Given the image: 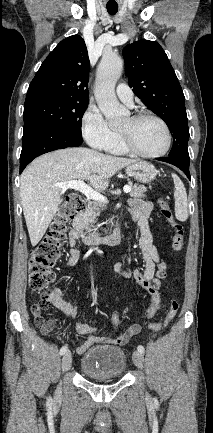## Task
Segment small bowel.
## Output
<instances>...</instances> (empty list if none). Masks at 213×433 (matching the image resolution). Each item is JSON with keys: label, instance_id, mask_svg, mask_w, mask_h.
<instances>
[{"label": "small bowel", "instance_id": "small-bowel-1", "mask_svg": "<svg viewBox=\"0 0 213 433\" xmlns=\"http://www.w3.org/2000/svg\"><path fill=\"white\" fill-rule=\"evenodd\" d=\"M130 206L131 218L138 224L140 229L139 245L145 262L144 270L131 271L123 268L120 264H118L116 268L125 277H133L135 281L150 294L152 301L150 308L148 309V317H152L159 308L161 287V279L156 272L157 266L160 262V257L158 250L153 243V237L148 225V218L152 210V204L145 200L135 199L131 201ZM79 238L80 237L76 230L72 229L69 233L68 257L65 260L67 265H73L79 260L80 252L76 248ZM47 299L50 304H52L64 316L68 318L74 316L75 309L64 301L61 289L53 288L47 295ZM54 327L55 322L49 320L44 326H41V331L44 335H48ZM74 327L79 335L86 337L85 342L77 348L79 354H83L96 343L104 342L122 344L127 341L122 339V335L118 337L101 336L99 335L97 328L87 323H75ZM127 330L132 332V336H134L140 332L141 327L138 324H133Z\"/></svg>", "mask_w": 213, "mask_h": 433}]
</instances>
